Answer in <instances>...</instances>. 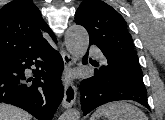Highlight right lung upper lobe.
<instances>
[{
    "label": "right lung upper lobe",
    "instance_id": "right-lung-upper-lobe-1",
    "mask_svg": "<svg viewBox=\"0 0 165 120\" xmlns=\"http://www.w3.org/2000/svg\"><path fill=\"white\" fill-rule=\"evenodd\" d=\"M54 34L32 0H14L0 10V60L48 42Z\"/></svg>",
    "mask_w": 165,
    "mask_h": 120
}]
</instances>
